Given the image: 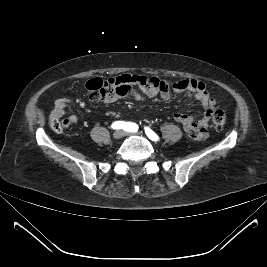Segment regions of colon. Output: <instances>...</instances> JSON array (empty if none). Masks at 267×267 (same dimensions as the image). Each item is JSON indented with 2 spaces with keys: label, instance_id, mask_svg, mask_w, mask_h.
<instances>
[{
  "label": "colon",
  "instance_id": "colon-1",
  "mask_svg": "<svg viewBox=\"0 0 267 267\" xmlns=\"http://www.w3.org/2000/svg\"><path fill=\"white\" fill-rule=\"evenodd\" d=\"M139 83L146 91L149 92L161 90L165 86L163 80H160L155 77L143 76L141 79H139ZM225 120H226L225 112L222 109L215 106L212 110V122L214 126L217 129H221L225 123ZM50 127L54 131L60 132L63 130L64 125L63 122H61L58 118H56L55 116H51Z\"/></svg>",
  "mask_w": 267,
  "mask_h": 267
}]
</instances>
